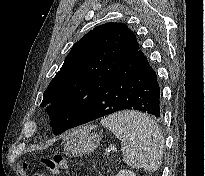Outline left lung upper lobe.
Segmentation results:
<instances>
[{"instance_id":"1","label":"left lung upper lobe","mask_w":205,"mask_h":176,"mask_svg":"<svg viewBox=\"0 0 205 176\" xmlns=\"http://www.w3.org/2000/svg\"><path fill=\"white\" fill-rule=\"evenodd\" d=\"M139 49L124 23H106L89 31L67 55L43 94L55 135L70 129L98 90Z\"/></svg>"}]
</instances>
